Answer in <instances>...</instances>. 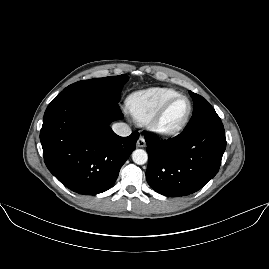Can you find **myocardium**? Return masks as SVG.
Masks as SVG:
<instances>
[{"label":"myocardium","mask_w":269,"mask_h":269,"mask_svg":"<svg viewBox=\"0 0 269 269\" xmlns=\"http://www.w3.org/2000/svg\"><path fill=\"white\" fill-rule=\"evenodd\" d=\"M184 98L188 102V108L186 111V114L183 118V120L173 129H164L162 127V121L168 112L169 108L172 106V104L177 101L178 99ZM192 111V105L191 101L188 97L184 95H177L175 97L170 98L167 100L163 106L158 110V112L149 120L148 122V129L155 135L163 138H168V137H174L178 135L187 125L190 114Z\"/></svg>","instance_id":"myocardium-1"}]
</instances>
